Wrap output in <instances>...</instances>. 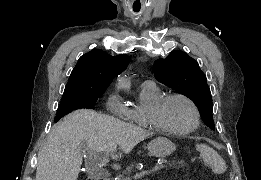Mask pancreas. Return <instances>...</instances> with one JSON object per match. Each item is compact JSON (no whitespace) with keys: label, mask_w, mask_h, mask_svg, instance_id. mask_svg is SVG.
<instances>
[{"label":"pancreas","mask_w":261,"mask_h":180,"mask_svg":"<svg viewBox=\"0 0 261 180\" xmlns=\"http://www.w3.org/2000/svg\"><path fill=\"white\" fill-rule=\"evenodd\" d=\"M171 166H168V169L171 170H186L188 167V162H185V159H172L169 160ZM136 166L135 162H130L126 169H123L118 176V180H125V176L133 174V169Z\"/></svg>","instance_id":"pancreas-1"}]
</instances>
